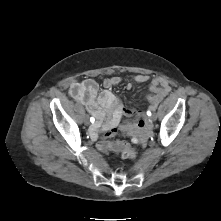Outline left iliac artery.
<instances>
[{
    "mask_svg": "<svg viewBox=\"0 0 221 221\" xmlns=\"http://www.w3.org/2000/svg\"><path fill=\"white\" fill-rule=\"evenodd\" d=\"M151 108H152V110H155V109H156V107H155V106H152ZM147 114H149V115H150L151 113H150V112H148Z\"/></svg>",
    "mask_w": 221,
    "mask_h": 221,
    "instance_id": "44dca946",
    "label": "left iliac artery"
}]
</instances>
